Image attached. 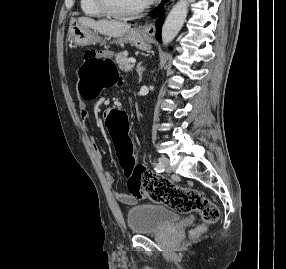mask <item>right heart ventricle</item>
Wrapping results in <instances>:
<instances>
[{"mask_svg":"<svg viewBox=\"0 0 286 269\" xmlns=\"http://www.w3.org/2000/svg\"><path fill=\"white\" fill-rule=\"evenodd\" d=\"M80 9L88 17L101 18L105 16L97 7L95 0H80Z\"/></svg>","mask_w":286,"mask_h":269,"instance_id":"right-heart-ventricle-1","label":"right heart ventricle"}]
</instances>
